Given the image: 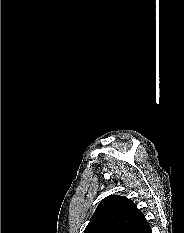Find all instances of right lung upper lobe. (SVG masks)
I'll use <instances>...</instances> for the list:
<instances>
[{
    "instance_id": "right-lung-upper-lobe-1",
    "label": "right lung upper lobe",
    "mask_w": 184,
    "mask_h": 233,
    "mask_svg": "<svg viewBox=\"0 0 184 233\" xmlns=\"http://www.w3.org/2000/svg\"><path fill=\"white\" fill-rule=\"evenodd\" d=\"M145 222L144 215L131 200L109 195L97 206L84 233H136Z\"/></svg>"
}]
</instances>
